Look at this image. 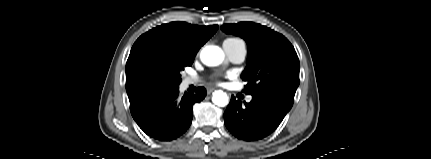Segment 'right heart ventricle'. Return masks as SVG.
Returning <instances> with one entry per match:
<instances>
[{"instance_id": "1", "label": "right heart ventricle", "mask_w": 431, "mask_h": 159, "mask_svg": "<svg viewBox=\"0 0 431 159\" xmlns=\"http://www.w3.org/2000/svg\"><path fill=\"white\" fill-rule=\"evenodd\" d=\"M238 40L239 39H237V38H228L224 42H234V41H238Z\"/></svg>"}]
</instances>
